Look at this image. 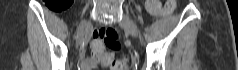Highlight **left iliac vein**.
<instances>
[{
  "label": "left iliac vein",
  "mask_w": 238,
  "mask_h": 70,
  "mask_svg": "<svg viewBox=\"0 0 238 70\" xmlns=\"http://www.w3.org/2000/svg\"><path fill=\"white\" fill-rule=\"evenodd\" d=\"M120 25L126 29L132 36H138V31L135 23L132 21L129 15H124L120 22Z\"/></svg>",
  "instance_id": "left-iliac-vein-1"
}]
</instances>
